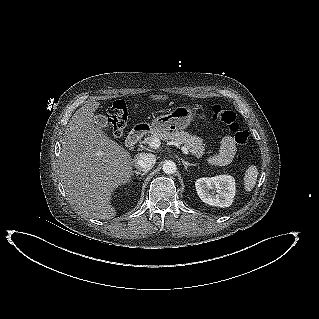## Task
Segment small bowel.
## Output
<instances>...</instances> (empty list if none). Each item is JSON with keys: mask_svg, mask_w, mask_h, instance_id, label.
<instances>
[{"mask_svg": "<svg viewBox=\"0 0 319 319\" xmlns=\"http://www.w3.org/2000/svg\"><path fill=\"white\" fill-rule=\"evenodd\" d=\"M236 153V143L232 136L226 135L221 141L218 152L209 158V163L217 166L229 164Z\"/></svg>", "mask_w": 319, "mask_h": 319, "instance_id": "obj_1", "label": "small bowel"}]
</instances>
